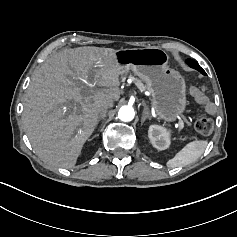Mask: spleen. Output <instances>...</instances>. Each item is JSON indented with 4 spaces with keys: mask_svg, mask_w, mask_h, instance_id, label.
Segmentation results:
<instances>
[{
    "mask_svg": "<svg viewBox=\"0 0 237 237\" xmlns=\"http://www.w3.org/2000/svg\"><path fill=\"white\" fill-rule=\"evenodd\" d=\"M208 141L193 140L180 149L173 158L166 162L167 168L185 167L195 162L204 153Z\"/></svg>",
    "mask_w": 237,
    "mask_h": 237,
    "instance_id": "obj_1",
    "label": "spleen"
}]
</instances>
